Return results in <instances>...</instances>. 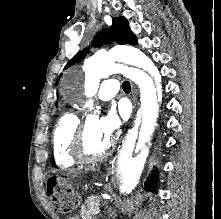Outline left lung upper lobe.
<instances>
[{"label": "left lung upper lobe", "mask_w": 221, "mask_h": 219, "mask_svg": "<svg viewBox=\"0 0 221 219\" xmlns=\"http://www.w3.org/2000/svg\"><path fill=\"white\" fill-rule=\"evenodd\" d=\"M115 40L118 44H130L136 45L137 38L135 34L131 31L128 21L124 17L113 18L112 26L109 29H102L97 33L93 40V46H102L103 44H108ZM89 52L88 48L80 51L77 55H75L65 66L64 69L78 63L81 61ZM59 75L57 82L59 81Z\"/></svg>", "instance_id": "1"}]
</instances>
